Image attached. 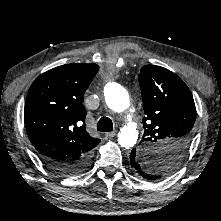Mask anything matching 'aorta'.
I'll use <instances>...</instances> for the list:
<instances>
[{
  "label": "aorta",
  "mask_w": 221,
  "mask_h": 221,
  "mask_svg": "<svg viewBox=\"0 0 221 221\" xmlns=\"http://www.w3.org/2000/svg\"><path fill=\"white\" fill-rule=\"evenodd\" d=\"M104 96L107 106L115 112H122L129 107L128 93L117 83H108L104 88ZM137 139L138 130L133 122H129L118 133V143L126 149L133 147Z\"/></svg>",
  "instance_id": "1"
}]
</instances>
